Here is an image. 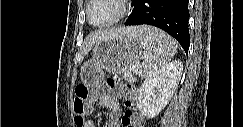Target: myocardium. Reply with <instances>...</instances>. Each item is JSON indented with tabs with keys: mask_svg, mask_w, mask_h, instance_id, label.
Masks as SVG:
<instances>
[{
	"mask_svg": "<svg viewBox=\"0 0 243 127\" xmlns=\"http://www.w3.org/2000/svg\"><path fill=\"white\" fill-rule=\"evenodd\" d=\"M95 1L96 0H89L85 9L87 22L93 27L104 28V27L112 26L118 23L119 21H121L129 13V3H130L129 0H111L118 6L119 11L117 15L107 22L100 23V24L93 23L90 19V8Z\"/></svg>",
	"mask_w": 243,
	"mask_h": 127,
	"instance_id": "myocardium-1",
	"label": "myocardium"
}]
</instances>
